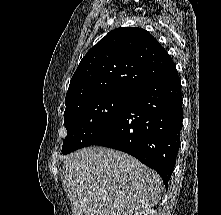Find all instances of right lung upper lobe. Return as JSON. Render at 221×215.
<instances>
[{
	"mask_svg": "<svg viewBox=\"0 0 221 215\" xmlns=\"http://www.w3.org/2000/svg\"><path fill=\"white\" fill-rule=\"evenodd\" d=\"M173 65L167 51L146 30L115 29L80 61L70 81L66 106L100 95H131Z\"/></svg>",
	"mask_w": 221,
	"mask_h": 215,
	"instance_id": "1",
	"label": "right lung upper lobe"
}]
</instances>
